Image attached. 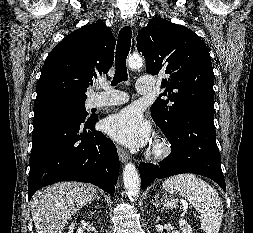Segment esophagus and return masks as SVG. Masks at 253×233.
Wrapping results in <instances>:
<instances>
[{
	"instance_id": "esophagus-1",
	"label": "esophagus",
	"mask_w": 253,
	"mask_h": 233,
	"mask_svg": "<svg viewBox=\"0 0 253 233\" xmlns=\"http://www.w3.org/2000/svg\"><path fill=\"white\" fill-rule=\"evenodd\" d=\"M123 24L124 25H128V26H134L135 24V19L133 17H128L126 18L124 21H123ZM117 151H118V155H119V158H120V161L122 163H126L129 159V154L127 151H125L123 148L121 147H117Z\"/></svg>"
}]
</instances>
